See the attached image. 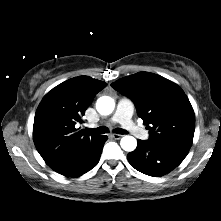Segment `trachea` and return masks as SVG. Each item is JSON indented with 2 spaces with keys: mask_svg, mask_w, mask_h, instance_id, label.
Masks as SVG:
<instances>
[{
  "mask_svg": "<svg viewBox=\"0 0 221 221\" xmlns=\"http://www.w3.org/2000/svg\"><path fill=\"white\" fill-rule=\"evenodd\" d=\"M89 132L97 133V134H104L108 132V128L101 126L95 129H88ZM114 132L117 134H127L126 130H123L122 128H116L114 129Z\"/></svg>",
  "mask_w": 221,
  "mask_h": 221,
  "instance_id": "obj_1",
  "label": "trachea"
}]
</instances>
